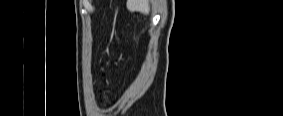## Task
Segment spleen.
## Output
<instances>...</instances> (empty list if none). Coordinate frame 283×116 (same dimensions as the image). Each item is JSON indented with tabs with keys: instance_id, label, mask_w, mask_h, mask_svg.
Segmentation results:
<instances>
[{
	"instance_id": "spleen-1",
	"label": "spleen",
	"mask_w": 283,
	"mask_h": 116,
	"mask_svg": "<svg viewBox=\"0 0 283 116\" xmlns=\"http://www.w3.org/2000/svg\"><path fill=\"white\" fill-rule=\"evenodd\" d=\"M127 8L131 12H141L145 15H148L150 12V5L147 0H128Z\"/></svg>"
}]
</instances>
